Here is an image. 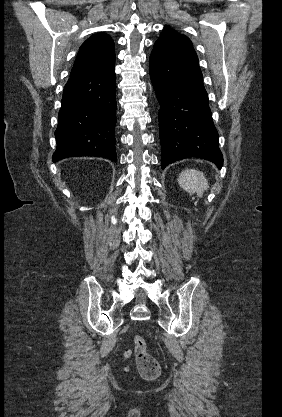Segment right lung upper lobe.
Wrapping results in <instances>:
<instances>
[{
  "label": "right lung upper lobe",
  "instance_id": "obj_1",
  "mask_svg": "<svg viewBox=\"0 0 282 417\" xmlns=\"http://www.w3.org/2000/svg\"><path fill=\"white\" fill-rule=\"evenodd\" d=\"M114 42L106 33L87 39L77 54L70 76H75L115 61Z\"/></svg>",
  "mask_w": 282,
  "mask_h": 417
}]
</instances>
